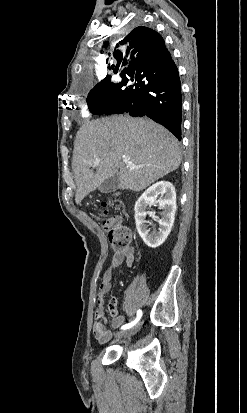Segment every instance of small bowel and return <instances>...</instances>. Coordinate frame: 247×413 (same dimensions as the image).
<instances>
[{
	"label": "small bowel",
	"instance_id": "small-bowel-1",
	"mask_svg": "<svg viewBox=\"0 0 247 413\" xmlns=\"http://www.w3.org/2000/svg\"><path fill=\"white\" fill-rule=\"evenodd\" d=\"M125 261L128 268L133 267L135 263V252L133 248H127L122 252L113 254L112 259L105 269L99 291L96 297V310L93 323V336L100 344H106L111 340L112 334L106 329L105 304L114 280L115 272L121 263ZM117 298L112 297L108 302V310L112 316L111 324L118 328L124 324V317L118 314Z\"/></svg>",
	"mask_w": 247,
	"mask_h": 413
}]
</instances>
